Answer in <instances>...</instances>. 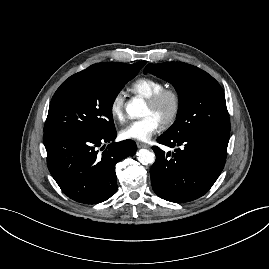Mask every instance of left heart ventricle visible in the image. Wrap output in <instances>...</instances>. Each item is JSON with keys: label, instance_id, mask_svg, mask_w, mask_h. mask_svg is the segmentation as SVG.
<instances>
[{"label": "left heart ventricle", "instance_id": "b2bd125f", "mask_svg": "<svg viewBox=\"0 0 269 269\" xmlns=\"http://www.w3.org/2000/svg\"><path fill=\"white\" fill-rule=\"evenodd\" d=\"M170 110H171V101L169 99H166L157 108H152L146 103L142 115L143 116L150 115V114L154 115L162 122L163 119L168 115Z\"/></svg>", "mask_w": 269, "mask_h": 269}]
</instances>
